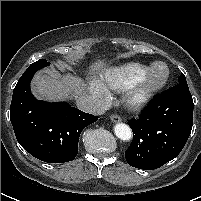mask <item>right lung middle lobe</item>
Masks as SVG:
<instances>
[{
    "mask_svg": "<svg viewBox=\"0 0 201 201\" xmlns=\"http://www.w3.org/2000/svg\"><path fill=\"white\" fill-rule=\"evenodd\" d=\"M49 65V62L46 61V59H40L37 62L32 63L30 66L37 67V66H47Z\"/></svg>",
    "mask_w": 201,
    "mask_h": 201,
    "instance_id": "right-lung-middle-lobe-1",
    "label": "right lung middle lobe"
}]
</instances>
